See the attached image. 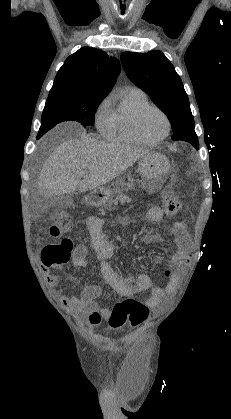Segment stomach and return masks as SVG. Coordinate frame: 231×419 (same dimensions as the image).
<instances>
[{
    "instance_id": "0dacf381",
    "label": "stomach",
    "mask_w": 231,
    "mask_h": 419,
    "mask_svg": "<svg viewBox=\"0 0 231 419\" xmlns=\"http://www.w3.org/2000/svg\"><path fill=\"white\" fill-rule=\"evenodd\" d=\"M138 170L143 178L142 187L153 192L160 188L166 180L170 171V163L163 154L150 152L140 159ZM117 190L118 188H99L86 196V202L92 205H105Z\"/></svg>"
}]
</instances>
